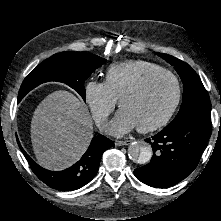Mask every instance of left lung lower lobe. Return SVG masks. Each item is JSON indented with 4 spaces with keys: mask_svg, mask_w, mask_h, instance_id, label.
Instances as JSON below:
<instances>
[{
    "mask_svg": "<svg viewBox=\"0 0 221 221\" xmlns=\"http://www.w3.org/2000/svg\"><path fill=\"white\" fill-rule=\"evenodd\" d=\"M211 129V120L198 117L164 128L152 139L145 140L152 145L153 156L150 163L135 169L134 175L152 187L177 184L196 168Z\"/></svg>",
    "mask_w": 221,
    "mask_h": 221,
    "instance_id": "0a47b994",
    "label": "left lung lower lobe"
}]
</instances>
